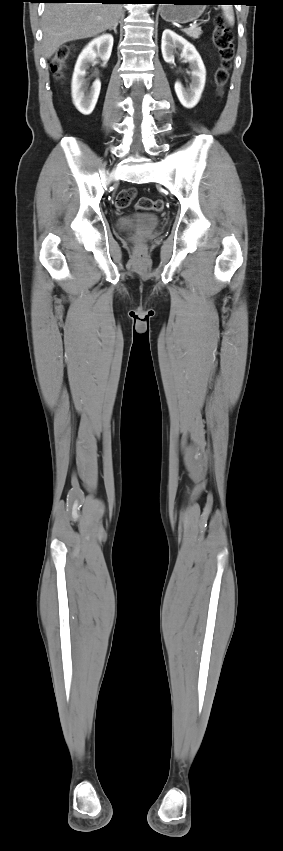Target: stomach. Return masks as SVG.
Wrapping results in <instances>:
<instances>
[{"label": "stomach", "mask_w": 283, "mask_h": 851, "mask_svg": "<svg viewBox=\"0 0 283 851\" xmlns=\"http://www.w3.org/2000/svg\"><path fill=\"white\" fill-rule=\"evenodd\" d=\"M207 0H169L159 8L161 17L168 22L185 24L197 20L205 9Z\"/></svg>", "instance_id": "1"}]
</instances>
